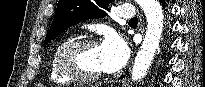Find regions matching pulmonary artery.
Here are the masks:
<instances>
[{
  "label": "pulmonary artery",
  "instance_id": "e3ab8cb5",
  "mask_svg": "<svg viewBox=\"0 0 205 87\" xmlns=\"http://www.w3.org/2000/svg\"><path fill=\"white\" fill-rule=\"evenodd\" d=\"M134 6L131 4L122 5L118 12V16L122 19H130L134 16Z\"/></svg>",
  "mask_w": 205,
  "mask_h": 87
}]
</instances>
